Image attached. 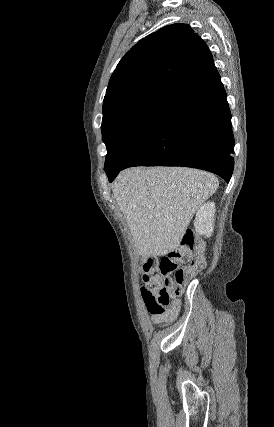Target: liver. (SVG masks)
Wrapping results in <instances>:
<instances>
[{
  "mask_svg": "<svg viewBox=\"0 0 274 427\" xmlns=\"http://www.w3.org/2000/svg\"><path fill=\"white\" fill-rule=\"evenodd\" d=\"M219 186L214 174L192 168H129L112 184L138 255L178 249L192 215Z\"/></svg>",
  "mask_w": 274,
  "mask_h": 427,
  "instance_id": "6515ba94",
  "label": "liver"
}]
</instances>
